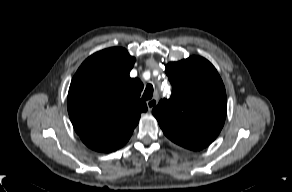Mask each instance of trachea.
I'll list each match as a JSON object with an SVG mask.
<instances>
[{
	"label": "trachea",
	"mask_w": 292,
	"mask_h": 192,
	"mask_svg": "<svg viewBox=\"0 0 292 192\" xmlns=\"http://www.w3.org/2000/svg\"><path fill=\"white\" fill-rule=\"evenodd\" d=\"M152 96H153V86L151 84H148L145 88L142 98L144 100H149L152 98Z\"/></svg>",
	"instance_id": "trachea-1"
}]
</instances>
